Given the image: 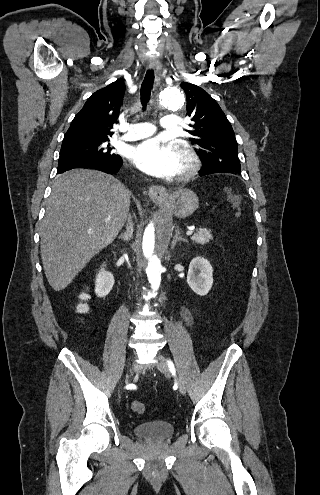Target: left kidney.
Returning <instances> with one entry per match:
<instances>
[{"label": "left kidney", "mask_w": 320, "mask_h": 495, "mask_svg": "<svg viewBox=\"0 0 320 495\" xmlns=\"http://www.w3.org/2000/svg\"><path fill=\"white\" fill-rule=\"evenodd\" d=\"M187 283L198 295H206L213 285V268L209 261L202 257L194 258L189 265Z\"/></svg>", "instance_id": "5707ae66"}]
</instances>
